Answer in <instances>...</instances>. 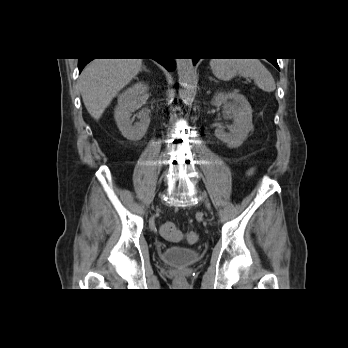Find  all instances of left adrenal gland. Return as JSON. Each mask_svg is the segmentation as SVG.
I'll return each instance as SVG.
<instances>
[{
  "label": "left adrenal gland",
  "instance_id": "a2214340",
  "mask_svg": "<svg viewBox=\"0 0 348 348\" xmlns=\"http://www.w3.org/2000/svg\"><path fill=\"white\" fill-rule=\"evenodd\" d=\"M210 80H214L212 77H209ZM215 81V80H214Z\"/></svg>",
  "mask_w": 348,
  "mask_h": 348
}]
</instances>
